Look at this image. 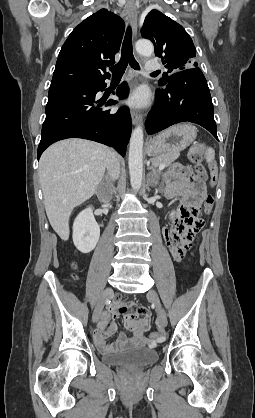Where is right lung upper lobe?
Segmentation results:
<instances>
[{
	"instance_id": "right-lung-upper-lobe-1",
	"label": "right lung upper lobe",
	"mask_w": 255,
	"mask_h": 418,
	"mask_svg": "<svg viewBox=\"0 0 255 418\" xmlns=\"http://www.w3.org/2000/svg\"><path fill=\"white\" fill-rule=\"evenodd\" d=\"M124 26L119 16L106 9L99 10L76 26L61 48L51 86L109 78L110 74L104 68L115 63Z\"/></svg>"
}]
</instances>
